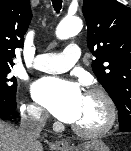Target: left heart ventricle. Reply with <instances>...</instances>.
Wrapping results in <instances>:
<instances>
[{"instance_id": "obj_1", "label": "left heart ventricle", "mask_w": 131, "mask_h": 151, "mask_svg": "<svg viewBox=\"0 0 131 151\" xmlns=\"http://www.w3.org/2000/svg\"><path fill=\"white\" fill-rule=\"evenodd\" d=\"M105 118L106 110L103 102L96 97L85 95L80 115L74 124L83 128H95L102 125Z\"/></svg>"}]
</instances>
